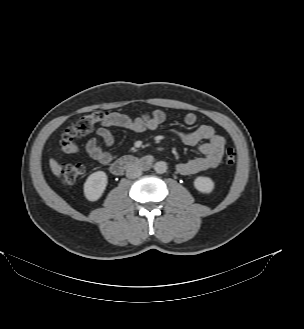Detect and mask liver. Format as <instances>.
<instances>
[{
	"instance_id": "1",
	"label": "liver",
	"mask_w": 304,
	"mask_h": 329,
	"mask_svg": "<svg viewBox=\"0 0 304 329\" xmlns=\"http://www.w3.org/2000/svg\"><path fill=\"white\" fill-rule=\"evenodd\" d=\"M49 165H50V168H51L53 174L56 175L57 177H60L62 168L58 164V162L55 161L54 159H50L49 160Z\"/></svg>"
}]
</instances>
